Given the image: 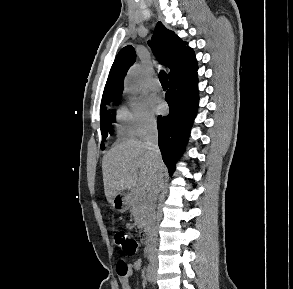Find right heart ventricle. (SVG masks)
Returning a JSON list of instances; mask_svg holds the SVG:
<instances>
[{
  "mask_svg": "<svg viewBox=\"0 0 293 289\" xmlns=\"http://www.w3.org/2000/svg\"><path fill=\"white\" fill-rule=\"evenodd\" d=\"M116 132L120 138H131L134 136L133 128L125 109H120L117 113Z\"/></svg>",
  "mask_w": 293,
  "mask_h": 289,
  "instance_id": "e07e8e85",
  "label": "right heart ventricle"
}]
</instances>
